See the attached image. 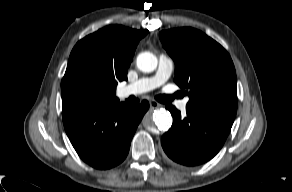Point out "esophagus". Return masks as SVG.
<instances>
[{"label":"esophagus","mask_w":292,"mask_h":192,"mask_svg":"<svg viewBox=\"0 0 292 192\" xmlns=\"http://www.w3.org/2000/svg\"><path fill=\"white\" fill-rule=\"evenodd\" d=\"M159 106H160V104L157 101H154V100L150 101V108L151 109H155Z\"/></svg>","instance_id":"34e87169"}]
</instances>
